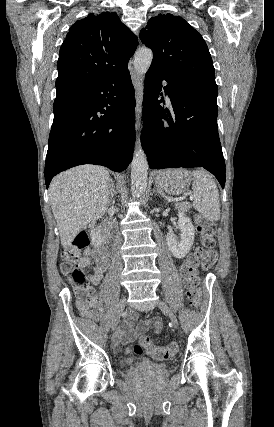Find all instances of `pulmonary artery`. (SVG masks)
Segmentation results:
<instances>
[{
    "label": "pulmonary artery",
    "instance_id": "pulmonary-artery-1",
    "mask_svg": "<svg viewBox=\"0 0 274 427\" xmlns=\"http://www.w3.org/2000/svg\"><path fill=\"white\" fill-rule=\"evenodd\" d=\"M166 100H167V102H170V97L168 94H166Z\"/></svg>",
    "mask_w": 274,
    "mask_h": 427
}]
</instances>
